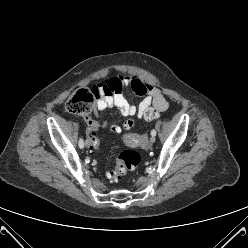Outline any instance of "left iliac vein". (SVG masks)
Returning <instances> with one entry per match:
<instances>
[{
    "mask_svg": "<svg viewBox=\"0 0 248 248\" xmlns=\"http://www.w3.org/2000/svg\"><path fill=\"white\" fill-rule=\"evenodd\" d=\"M155 142V136H152L151 138H150V144H153Z\"/></svg>",
    "mask_w": 248,
    "mask_h": 248,
    "instance_id": "obj_1",
    "label": "left iliac vein"
}]
</instances>
